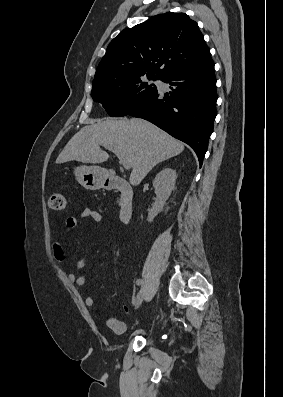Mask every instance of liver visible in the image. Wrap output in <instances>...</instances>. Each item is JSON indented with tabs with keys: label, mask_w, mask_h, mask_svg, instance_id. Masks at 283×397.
<instances>
[{
	"label": "liver",
	"mask_w": 283,
	"mask_h": 397,
	"mask_svg": "<svg viewBox=\"0 0 283 397\" xmlns=\"http://www.w3.org/2000/svg\"><path fill=\"white\" fill-rule=\"evenodd\" d=\"M107 144L117 149L130 163V184L137 186L159 162L177 156L184 144L160 128L142 119H106L80 129L56 159L61 164L76 160L100 164L109 155L100 149Z\"/></svg>",
	"instance_id": "liver-1"
}]
</instances>
